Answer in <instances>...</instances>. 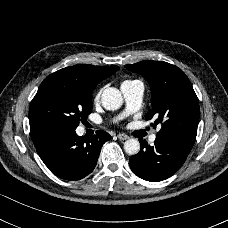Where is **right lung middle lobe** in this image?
<instances>
[{
	"mask_svg": "<svg viewBox=\"0 0 228 228\" xmlns=\"http://www.w3.org/2000/svg\"><path fill=\"white\" fill-rule=\"evenodd\" d=\"M92 90L74 77L49 75L30 105L31 133L54 127L75 129L92 112Z\"/></svg>",
	"mask_w": 228,
	"mask_h": 228,
	"instance_id": "dd1d6c3e",
	"label": "right lung middle lobe"
}]
</instances>
